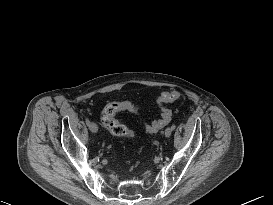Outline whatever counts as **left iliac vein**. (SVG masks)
I'll list each match as a JSON object with an SVG mask.
<instances>
[{"instance_id": "4c4485c4", "label": "left iliac vein", "mask_w": 273, "mask_h": 205, "mask_svg": "<svg viewBox=\"0 0 273 205\" xmlns=\"http://www.w3.org/2000/svg\"><path fill=\"white\" fill-rule=\"evenodd\" d=\"M171 133H172L171 127L166 128V130H165V136L166 137H170Z\"/></svg>"}]
</instances>
